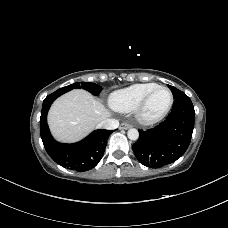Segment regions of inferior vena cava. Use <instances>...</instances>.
<instances>
[{
    "label": "inferior vena cava",
    "mask_w": 228,
    "mask_h": 228,
    "mask_svg": "<svg viewBox=\"0 0 228 228\" xmlns=\"http://www.w3.org/2000/svg\"><path fill=\"white\" fill-rule=\"evenodd\" d=\"M118 126H119L118 120L111 119V118H106L97 124L98 128H103V129H107V130L116 129V128H118Z\"/></svg>",
    "instance_id": "obj_1"
}]
</instances>
